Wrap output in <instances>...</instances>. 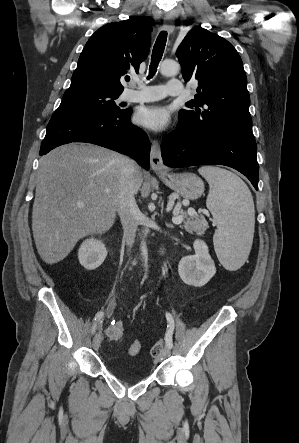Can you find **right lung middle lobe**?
Instances as JSON below:
<instances>
[{
	"label": "right lung middle lobe",
	"instance_id": "dd1d6c3e",
	"mask_svg": "<svg viewBox=\"0 0 299 443\" xmlns=\"http://www.w3.org/2000/svg\"><path fill=\"white\" fill-rule=\"evenodd\" d=\"M120 94L92 87H69L63 95L59 108L101 114L121 113L124 109L115 103Z\"/></svg>",
	"mask_w": 299,
	"mask_h": 443
}]
</instances>
